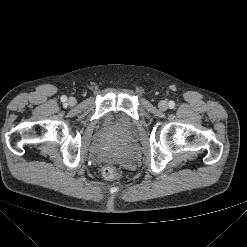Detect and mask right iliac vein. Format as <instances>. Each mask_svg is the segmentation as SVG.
I'll use <instances>...</instances> for the list:
<instances>
[{"instance_id": "right-iliac-vein-1", "label": "right iliac vein", "mask_w": 247, "mask_h": 247, "mask_svg": "<svg viewBox=\"0 0 247 247\" xmlns=\"http://www.w3.org/2000/svg\"><path fill=\"white\" fill-rule=\"evenodd\" d=\"M76 99L74 98V97H70L69 99H68V104L70 105V106H74L75 104H76Z\"/></svg>"}]
</instances>
